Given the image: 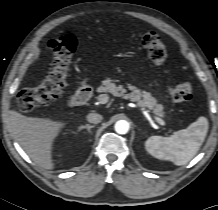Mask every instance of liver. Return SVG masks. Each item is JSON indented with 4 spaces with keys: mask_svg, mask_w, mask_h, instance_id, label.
<instances>
[{
    "mask_svg": "<svg viewBox=\"0 0 218 210\" xmlns=\"http://www.w3.org/2000/svg\"><path fill=\"white\" fill-rule=\"evenodd\" d=\"M16 117L21 135L24 136L23 144L30 156L45 169H53V142L67 123L49 118H25L18 114Z\"/></svg>",
    "mask_w": 218,
    "mask_h": 210,
    "instance_id": "1",
    "label": "liver"
}]
</instances>
